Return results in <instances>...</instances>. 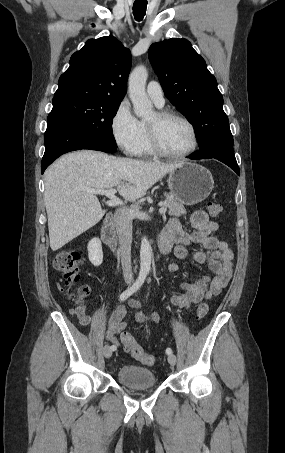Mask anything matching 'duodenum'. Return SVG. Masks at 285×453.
I'll return each instance as SVG.
<instances>
[{"mask_svg":"<svg viewBox=\"0 0 285 453\" xmlns=\"http://www.w3.org/2000/svg\"><path fill=\"white\" fill-rule=\"evenodd\" d=\"M101 237L103 242L117 255L121 254V250L119 247L118 239L115 233L114 228V217L112 214H107L102 228H101ZM159 252L161 255H166L171 250V243L163 238L160 237L158 241Z\"/></svg>","mask_w":285,"mask_h":453,"instance_id":"duodenum-1","label":"duodenum"}]
</instances>
